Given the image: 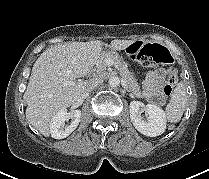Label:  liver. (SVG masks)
I'll list each match as a JSON object with an SVG mask.
<instances>
[{
    "instance_id": "liver-1",
    "label": "liver",
    "mask_w": 209,
    "mask_h": 179,
    "mask_svg": "<svg viewBox=\"0 0 209 179\" xmlns=\"http://www.w3.org/2000/svg\"><path fill=\"white\" fill-rule=\"evenodd\" d=\"M132 40H112L113 51L126 49ZM101 41L72 42L45 50L33 65L24 100L27 103L26 118L42 135H50V123L61 109L79 102L88 81H73L87 75L102 56Z\"/></svg>"
}]
</instances>
